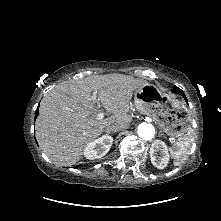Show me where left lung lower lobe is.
<instances>
[{"instance_id":"1","label":"left lung lower lobe","mask_w":221,"mask_h":221,"mask_svg":"<svg viewBox=\"0 0 221 221\" xmlns=\"http://www.w3.org/2000/svg\"><path fill=\"white\" fill-rule=\"evenodd\" d=\"M172 91L175 92V93H177V94L182 95L183 98H184V99L186 100V102H187V98H186L184 92H183L180 88H178V87L175 86V88H174Z\"/></svg>"}]
</instances>
